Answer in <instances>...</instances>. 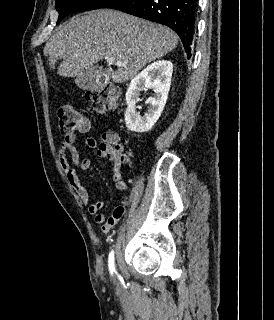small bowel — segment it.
Instances as JSON below:
<instances>
[{
  "label": "small bowel",
  "mask_w": 274,
  "mask_h": 320,
  "mask_svg": "<svg viewBox=\"0 0 274 320\" xmlns=\"http://www.w3.org/2000/svg\"><path fill=\"white\" fill-rule=\"evenodd\" d=\"M81 124L83 127L79 131L85 132L89 129V126L92 125V120L82 119ZM76 140V133L65 135L59 149L60 167L80 202L87 208V211L93 215V221L102 226L105 223H109L111 227H113L124 215L126 205L130 201V196L126 195L124 197L122 204L114 209L111 216L107 217L106 215L99 213L104 207V202L101 200L90 201V193L82 184L78 172L74 168L76 167L82 171H86L91 166V160L89 158H80L79 151L75 146ZM83 144L90 149L96 150L99 157L112 160V177L117 188L121 191H128L129 186L123 178V168L128 164L129 159L125 155L123 149L117 147L116 149L109 151L103 144L98 145V142L93 137H85L83 139Z\"/></svg>",
  "instance_id": "c3829d8e"
}]
</instances>
